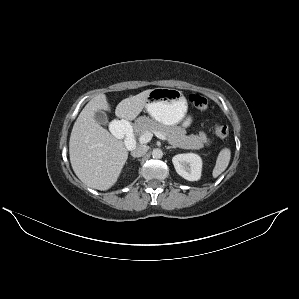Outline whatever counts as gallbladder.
<instances>
[{"label":"gallbladder","instance_id":"gallbladder-1","mask_svg":"<svg viewBox=\"0 0 299 299\" xmlns=\"http://www.w3.org/2000/svg\"><path fill=\"white\" fill-rule=\"evenodd\" d=\"M95 120L97 123H99L101 125H104V126L109 125L107 115L104 112H100V111L96 112Z\"/></svg>","mask_w":299,"mask_h":299}]
</instances>
